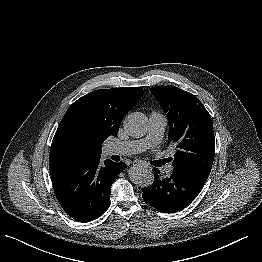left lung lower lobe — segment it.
I'll list each match as a JSON object with an SVG mask.
<instances>
[{
  "label": "left lung lower lobe",
  "instance_id": "left-lung-lower-lobe-1",
  "mask_svg": "<svg viewBox=\"0 0 262 262\" xmlns=\"http://www.w3.org/2000/svg\"><path fill=\"white\" fill-rule=\"evenodd\" d=\"M155 181L143 189V199L164 213H174L188 206L200 193L206 180L174 170L170 177L160 179L153 169Z\"/></svg>",
  "mask_w": 262,
  "mask_h": 262
}]
</instances>
